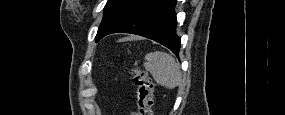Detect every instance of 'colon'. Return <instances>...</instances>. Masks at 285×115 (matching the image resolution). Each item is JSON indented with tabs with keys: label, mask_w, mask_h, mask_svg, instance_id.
I'll return each mask as SVG.
<instances>
[{
	"label": "colon",
	"mask_w": 285,
	"mask_h": 115,
	"mask_svg": "<svg viewBox=\"0 0 285 115\" xmlns=\"http://www.w3.org/2000/svg\"><path fill=\"white\" fill-rule=\"evenodd\" d=\"M129 72L132 75L137 87L136 105L138 114L152 115L154 104V84L152 79L145 71L138 68H130Z\"/></svg>",
	"instance_id": "1"
}]
</instances>
